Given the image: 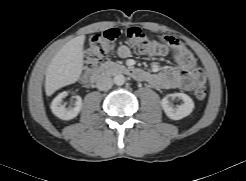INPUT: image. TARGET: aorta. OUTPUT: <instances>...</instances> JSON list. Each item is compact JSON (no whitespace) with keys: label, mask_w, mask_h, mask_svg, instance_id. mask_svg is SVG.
I'll list each match as a JSON object with an SVG mask.
<instances>
[{"label":"aorta","mask_w":246,"mask_h":181,"mask_svg":"<svg viewBox=\"0 0 246 181\" xmlns=\"http://www.w3.org/2000/svg\"><path fill=\"white\" fill-rule=\"evenodd\" d=\"M113 82L117 86H121L125 83V76L122 74H117L114 76Z\"/></svg>","instance_id":"obj_1"}]
</instances>
